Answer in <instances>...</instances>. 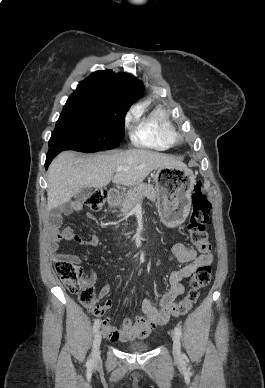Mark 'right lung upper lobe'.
I'll return each instance as SVG.
<instances>
[{
    "label": "right lung upper lobe",
    "instance_id": "right-lung-upper-lobe-1",
    "mask_svg": "<svg viewBox=\"0 0 265 388\" xmlns=\"http://www.w3.org/2000/svg\"><path fill=\"white\" fill-rule=\"evenodd\" d=\"M144 91L142 82L130 74H117L111 70L96 71L79 83L72 95L114 96L135 102Z\"/></svg>",
    "mask_w": 265,
    "mask_h": 388
}]
</instances>
